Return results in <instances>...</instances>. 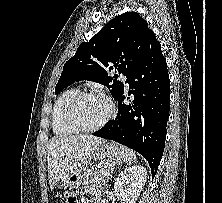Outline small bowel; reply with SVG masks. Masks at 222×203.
Masks as SVG:
<instances>
[{"label": "small bowel", "mask_w": 222, "mask_h": 203, "mask_svg": "<svg viewBox=\"0 0 222 203\" xmlns=\"http://www.w3.org/2000/svg\"><path fill=\"white\" fill-rule=\"evenodd\" d=\"M90 195H91V191L85 190V191L81 194V197H82V198L90 197ZM73 203H89V201H87V200L79 201L77 197H73ZM96 203H103V202L98 200Z\"/></svg>", "instance_id": "obj_1"}]
</instances>
